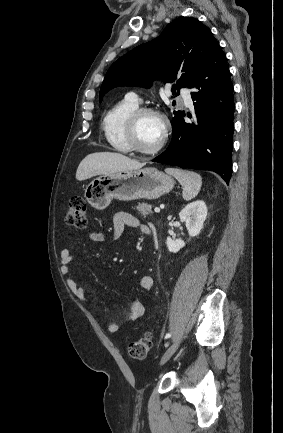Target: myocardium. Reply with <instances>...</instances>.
<instances>
[{
    "instance_id": "f54148a6",
    "label": "myocardium",
    "mask_w": 283,
    "mask_h": 433,
    "mask_svg": "<svg viewBox=\"0 0 283 433\" xmlns=\"http://www.w3.org/2000/svg\"><path fill=\"white\" fill-rule=\"evenodd\" d=\"M152 114L157 116L163 123V131L156 149L148 151L143 149L137 139L138 125L143 116ZM170 129V122L167 116L160 110L154 107H139L134 110L127 118L124 129L125 141L129 146L130 151L141 157H156L162 154L166 149V141Z\"/></svg>"
}]
</instances>
